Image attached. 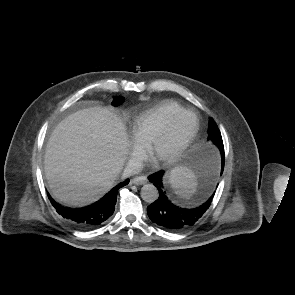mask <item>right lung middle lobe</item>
Here are the masks:
<instances>
[{"mask_svg":"<svg viewBox=\"0 0 295 295\" xmlns=\"http://www.w3.org/2000/svg\"><path fill=\"white\" fill-rule=\"evenodd\" d=\"M123 102V98L121 97H114V101L112 102V105L118 106Z\"/></svg>","mask_w":295,"mask_h":295,"instance_id":"dd1d6c3e","label":"right lung middle lobe"}]
</instances>
